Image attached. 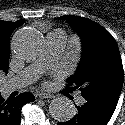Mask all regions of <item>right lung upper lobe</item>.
<instances>
[{
  "mask_svg": "<svg viewBox=\"0 0 125 125\" xmlns=\"http://www.w3.org/2000/svg\"><path fill=\"white\" fill-rule=\"evenodd\" d=\"M25 20H18L16 22L0 20V53H8L10 56V36L12 32L21 26ZM10 58V57H9ZM9 59L0 61V70L8 71Z\"/></svg>",
  "mask_w": 125,
  "mask_h": 125,
  "instance_id": "right-lung-upper-lobe-1",
  "label": "right lung upper lobe"
}]
</instances>
